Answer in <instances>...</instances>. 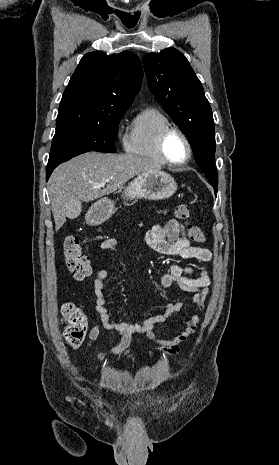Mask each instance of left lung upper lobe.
Wrapping results in <instances>:
<instances>
[{"label": "left lung upper lobe", "mask_w": 279, "mask_h": 465, "mask_svg": "<svg viewBox=\"0 0 279 465\" xmlns=\"http://www.w3.org/2000/svg\"><path fill=\"white\" fill-rule=\"evenodd\" d=\"M143 65L150 91L186 135L197 164L217 194L213 114L200 80L175 48L146 54Z\"/></svg>", "instance_id": "obj_1"}]
</instances>
